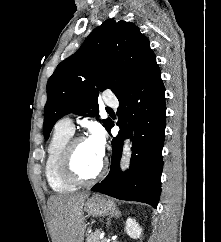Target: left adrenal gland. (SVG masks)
<instances>
[{
	"label": "left adrenal gland",
	"mask_w": 221,
	"mask_h": 242,
	"mask_svg": "<svg viewBox=\"0 0 221 242\" xmlns=\"http://www.w3.org/2000/svg\"><path fill=\"white\" fill-rule=\"evenodd\" d=\"M120 215H121V212L118 211V210H116L115 212L111 213V216H110L109 219H108L107 225L110 224V218H112V217H116V218H118Z\"/></svg>",
	"instance_id": "obj_1"
}]
</instances>
